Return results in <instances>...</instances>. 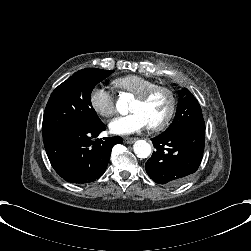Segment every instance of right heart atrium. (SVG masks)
I'll list each match as a JSON object with an SVG mask.
<instances>
[{
  "instance_id": "1",
  "label": "right heart atrium",
  "mask_w": 251,
  "mask_h": 251,
  "mask_svg": "<svg viewBox=\"0 0 251 251\" xmlns=\"http://www.w3.org/2000/svg\"><path fill=\"white\" fill-rule=\"evenodd\" d=\"M88 99L92 110L103 117H110L116 111L115 97L105 87L93 86Z\"/></svg>"
}]
</instances>
